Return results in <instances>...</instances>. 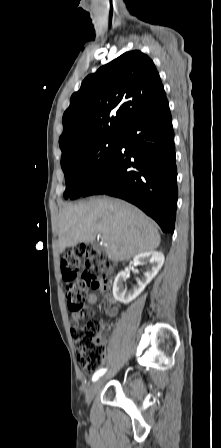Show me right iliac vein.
Masks as SVG:
<instances>
[{"mask_svg": "<svg viewBox=\"0 0 221 448\" xmlns=\"http://www.w3.org/2000/svg\"><path fill=\"white\" fill-rule=\"evenodd\" d=\"M104 381V377L97 379L88 389L86 393V401L88 404L91 403L96 393L99 391L102 383Z\"/></svg>", "mask_w": 221, "mask_h": 448, "instance_id": "1", "label": "right iliac vein"}]
</instances>
